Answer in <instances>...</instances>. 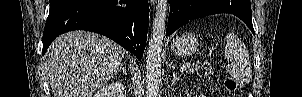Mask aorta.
Segmentation results:
<instances>
[{
    "instance_id": "1",
    "label": "aorta",
    "mask_w": 302,
    "mask_h": 97,
    "mask_svg": "<svg viewBox=\"0 0 302 97\" xmlns=\"http://www.w3.org/2000/svg\"><path fill=\"white\" fill-rule=\"evenodd\" d=\"M167 9V0H158L146 56L147 97H160L162 47L166 29Z\"/></svg>"
}]
</instances>
